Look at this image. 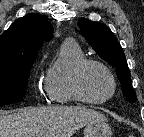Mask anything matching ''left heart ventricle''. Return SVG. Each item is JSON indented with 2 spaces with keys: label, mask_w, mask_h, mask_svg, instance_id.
I'll use <instances>...</instances> for the list:
<instances>
[{
  "label": "left heart ventricle",
  "mask_w": 144,
  "mask_h": 137,
  "mask_svg": "<svg viewBox=\"0 0 144 137\" xmlns=\"http://www.w3.org/2000/svg\"><path fill=\"white\" fill-rule=\"evenodd\" d=\"M82 87L91 99H102L108 96L112 85L107 74L97 66H90L84 73Z\"/></svg>",
  "instance_id": "obj_1"
}]
</instances>
